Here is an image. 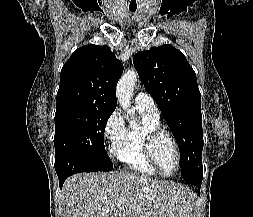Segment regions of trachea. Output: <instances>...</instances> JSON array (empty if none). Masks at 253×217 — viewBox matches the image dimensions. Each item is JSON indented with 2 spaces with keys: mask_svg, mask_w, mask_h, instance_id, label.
Listing matches in <instances>:
<instances>
[{
  "mask_svg": "<svg viewBox=\"0 0 253 217\" xmlns=\"http://www.w3.org/2000/svg\"><path fill=\"white\" fill-rule=\"evenodd\" d=\"M129 10H130L131 12H135V11H136V8H129Z\"/></svg>",
  "mask_w": 253,
  "mask_h": 217,
  "instance_id": "trachea-1",
  "label": "trachea"
}]
</instances>
